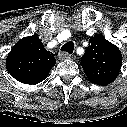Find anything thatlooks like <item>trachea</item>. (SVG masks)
Wrapping results in <instances>:
<instances>
[{
    "label": "trachea",
    "mask_w": 127,
    "mask_h": 127,
    "mask_svg": "<svg viewBox=\"0 0 127 127\" xmlns=\"http://www.w3.org/2000/svg\"><path fill=\"white\" fill-rule=\"evenodd\" d=\"M74 50V43L72 41L65 43L62 47H61V51H65L69 54H71Z\"/></svg>",
    "instance_id": "obj_1"
}]
</instances>
